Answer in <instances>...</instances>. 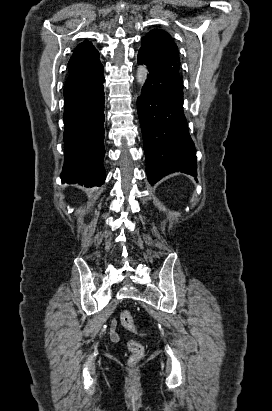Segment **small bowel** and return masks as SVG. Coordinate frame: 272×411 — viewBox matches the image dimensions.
Returning <instances> with one entry per match:
<instances>
[{"instance_id":"obj_1","label":"small bowel","mask_w":272,"mask_h":411,"mask_svg":"<svg viewBox=\"0 0 272 411\" xmlns=\"http://www.w3.org/2000/svg\"><path fill=\"white\" fill-rule=\"evenodd\" d=\"M116 326H117V322L115 319H113L111 321V326H110V337L113 342H118L119 340V335L116 332Z\"/></svg>"}]
</instances>
